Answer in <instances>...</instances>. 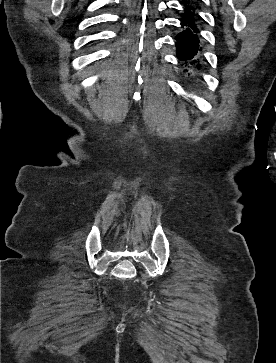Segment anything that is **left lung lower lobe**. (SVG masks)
<instances>
[{"label": "left lung lower lobe", "mask_w": 276, "mask_h": 363, "mask_svg": "<svg viewBox=\"0 0 276 363\" xmlns=\"http://www.w3.org/2000/svg\"><path fill=\"white\" fill-rule=\"evenodd\" d=\"M198 0H182L183 18L181 19L180 33L176 37V47L178 58L180 60H190L185 62V67L200 68V63L203 61L200 55L202 37L199 34L198 25L201 17L196 12L195 4ZM188 71V70H186Z\"/></svg>", "instance_id": "0a47b994"}]
</instances>
